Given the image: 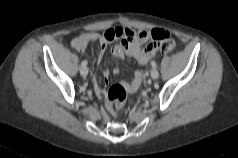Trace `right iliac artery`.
<instances>
[{"label": "right iliac artery", "mask_w": 238, "mask_h": 158, "mask_svg": "<svg viewBox=\"0 0 238 158\" xmlns=\"http://www.w3.org/2000/svg\"><path fill=\"white\" fill-rule=\"evenodd\" d=\"M82 67H85L87 65V61L84 60L82 63H81Z\"/></svg>", "instance_id": "82829eb1"}]
</instances>
